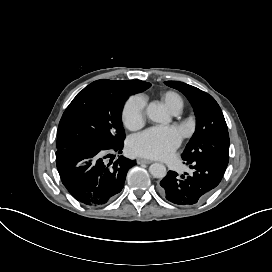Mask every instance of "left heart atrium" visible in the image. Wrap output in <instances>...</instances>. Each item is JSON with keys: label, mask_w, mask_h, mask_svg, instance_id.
Wrapping results in <instances>:
<instances>
[{"label": "left heart atrium", "mask_w": 272, "mask_h": 272, "mask_svg": "<svg viewBox=\"0 0 272 272\" xmlns=\"http://www.w3.org/2000/svg\"><path fill=\"white\" fill-rule=\"evenodd\" d=\"M180 143L179 131L172 127H152L139 134L129 145V152L156 159L172 155Z\"/></svg>", "instance_id": "left-heart-atrium-1"}]
</instances>
